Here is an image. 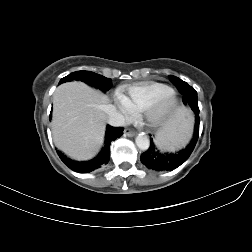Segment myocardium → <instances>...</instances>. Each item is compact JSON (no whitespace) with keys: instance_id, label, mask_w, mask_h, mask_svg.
<instances>
[{"instance_id":"myocardium-1","label":"myocardium","mask_w":252,"mask_h":252,"mask_svg":"<svg viewBox=\"0 0 252 252\" xmlns=\"http://www.w3.org/2000/svg\"><path fill=\"white\" fill-rule=\"evenodd\" d=\"M177 106V98L174 91L164 94L151 101L140 112V121L149 127L162 125L172 114Z\"/></svg>"}]
</instances>
